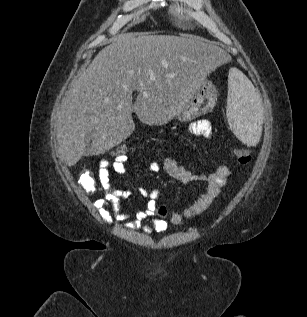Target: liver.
Returning <instances> with one entry per match:
<instances>
[{
    "label": "liver",
    "instance_id": "1",
    "mask_svg": "<svg viewBox=\"0 0 307 317\" xmlns=\"http://www.w3.org/2000/svg\"><path fill=\"white\" fill-rule=\"evenodd\" d=\"M225 48L194 35H120L102 49L72 82L57 116L58 154L73 166L94 129L93 155L131 135L132 113L147 125H164L179 115L203 78L226 65ZM142 84V85H141ZM138 91L136 102L132 93Z\"/></svg>",
    "mask_w": 307,
    "mask_h": 317
}]
</instances>
